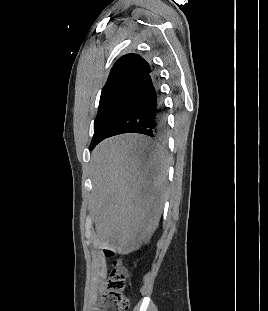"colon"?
<instances>
[{"label": "colon", "mask_w": 268, "mask_h": 311, "mask_svg": "<svg viewBox=\"0 0 268 311\" xmlns=\"http://www.w3.org/2000/svg\"><path fill=\"white\" fill-rule=\"evenodd\" d=\"M106 255L112 257L114 253L107 250ZM102 297L103 302L99 311H127L129 307L126 272L119 261H114L113 270L105 283Z\"/></svg>", "instance_id": "5ec220e1"}]
</instances>
